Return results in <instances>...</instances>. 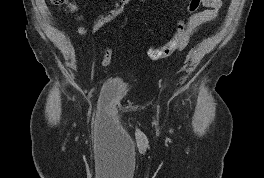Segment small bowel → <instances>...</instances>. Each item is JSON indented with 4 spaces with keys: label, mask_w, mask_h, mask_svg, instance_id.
Masks as SVG:
<instances>
[{
    "label": "small bowel",
    "mask_w": 264,
    "mask_h": 178,
    "mask_svg": "<svg viewBox=\"0 0 264 178\" xmlns=\"http://www.w3.org/2000/svg\"><path fill=\"white\" fill-rule=\"evenodd\" d=\"M134 0H117L113 7L103 13L99 18L95 21V23L90 27H80L78 29L81 35H86L89 33H95L103 28L105 25L113 22L117 17H119L126 8L133 2ZM140 3H145L146 0H138ZM166 10H169V0H162ZM222 6V0H206L205 9L203 11L197 12L190 19V26L195 30L203 23L209 22L213 20L218 10Z\"/></svg>",
    "instance_id": "obj_1"
}]
</instances>
